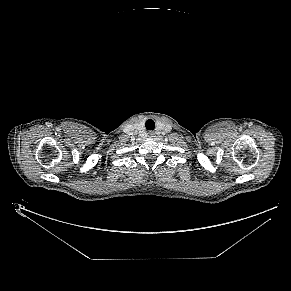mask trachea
Masks as SVG:
<instances>
[{"label": "trachea", "mask_w": 291, "mask_h": 291, "mask_svg": "<svg viewBox=\"0 0 291 291\" xmlns=\"http://www.w3.org/2000/svg\"><path fill=\"white\" fill-rule=\"evenodd\" d=\"M145 127L147 130H154L155 122L152 119H148L145 123Z\"/></svg>", "instance_id": "trachea-1"}]
</instances>
